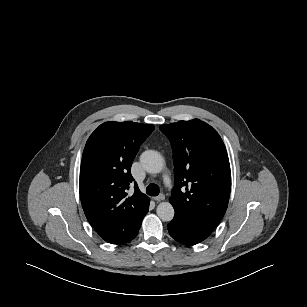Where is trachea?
I'll return each instance as SVG.
<instances>
[{
	"instance_id": "trachea-1",
	"label": "trachea",
	"mask_w": 307,
	"mask_h": 307,
	"mask_svg": "<svg viewBox=\"0 0 307 307\" xmlns=\"http://www.w3.org/2000/svg\"><path fill=\"white\" fill-rule=\"evenodd\" d=\"M146 192L150 196H157L160 192L159 187L156 184H150L146 188Z\"/></svg>"
}]
</instances>
